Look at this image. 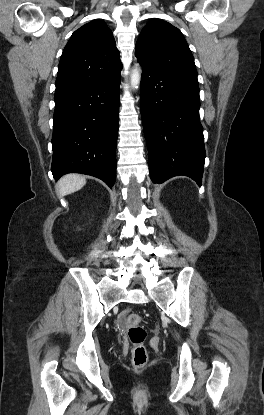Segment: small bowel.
<instances>
[{
    "label": "small bowel",
    "instance_id": "obj_1",
    "mask_svg": "<svg viewBox=\"0 0 264 415\" xmlns=\"http://www.w3.org/2000/svg\"><path fill=\"white\" fill-rule=\"evenodd\" d=\"M125 317H126V313L125 312H122L121 314H119V316L117 318V323L118 324L122 323L124 321Z\"/></svg>",
    "mask_w": 264,
    "mask_h": 415
}]
</instances>
